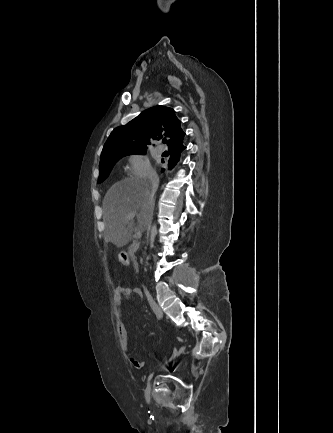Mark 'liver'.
I'll return each mask as SVG.
<instances>
[{
  "mask_svg": "<svg viewBox=\"0 0 333 433\" xmlns=\"http://www.w3.org/2000/svg\"><path fill=\"white\" fill-rule=\"evenodd\" d=\"M153 207L148 179L131 177L112 185L103 199L104 241L117 248L127 245L135 229L145 230ZM129 213L138 215L137 225L133 220L126 221Z\"/></svg>",
  "mask_w": 333,
  "mask_h": 433,
  "instance_id": "6515ba94",
  "label": "liver"
}]
</instances>
